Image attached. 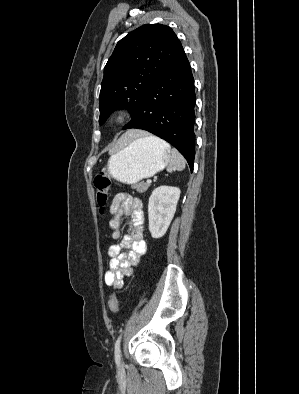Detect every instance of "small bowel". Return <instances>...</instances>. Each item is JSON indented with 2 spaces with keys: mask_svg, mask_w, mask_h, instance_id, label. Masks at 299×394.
I'll list each match as a JSON object with an SVG mask.
<instances>
[{
  "mask_svg": "<svg viewBox=\"0 0 299 394\" xmlns=\"http://www.w3.org/2000/svg\"><path fill=\"white\" fill-rule=\"evenodd\" d=\"M110 214L112 218L109 221V228L112 230L113 240H118L122 236L123 217H130V233L124 235L119 244H112L107 250L110 263L109 271L105 274V282L109 286L119 288L123 284L124 277L132 274L133 267L139 264L146 253L142 202L128 192H119L112 200Z\"/></svg>",
  "mask_w": 299,
  "mask_h": 394,
  "instance_id": "obj_1",
  "label": "small bowel"
}]
</instances>
